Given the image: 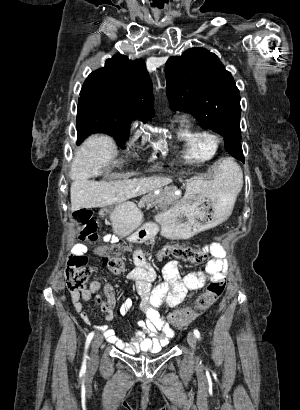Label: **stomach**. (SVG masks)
Here are the masks:
<instances>
[{
	"mask_svg": "<svg viewBox=\"0 0 300 410\" xmlns=\"http://www.w3.org/2000/svg\"><path fill=\"white\" fill-rule=\"evenodd\" d=\"M235 199L232 173L223 174L219 169L212 179H190L180 202L155 219L162 236L188 239L224 222L232 213ZM100 215H109L113 231L120 237L129 235L143 221L142 212L130 201L103 209Z\"/></svg>",
	"mask_w": 300,
	"mask_h": 410,
	"instance_id": "obj_1",
	"label": "stomach"
}]
</instances>
